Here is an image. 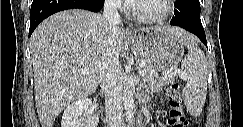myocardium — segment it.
<instances>
[{"label": "myocardium", "mask_w": 243, "mask_h": 127, "mask_svg": "<svg viewBox=\"0 0 243 127\" xmlns=\"http://www.w3.org/2000/svg\"><path fill=\"white\" fill-rule=\"evenodd\" d=\"M163 1H164V4H165V9L159 15H155V16H144V15H141L137 11L136 3L135 4H131L129 6V10H130L131 15L133 16V18L136 19L139 22L148 23V24L159 23V22H162V21L166 20L173 13V3H174V1L173 0H163Z\"/></svg>", "instance_id": "f54148a6"}]
</instances>
